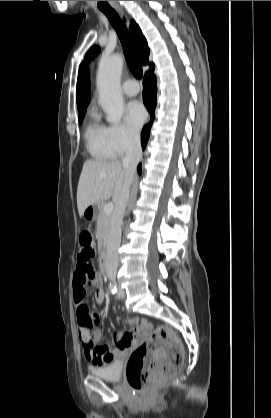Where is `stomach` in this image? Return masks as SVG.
I'll return each mask as SVG.
<instances>
[{
	"mask_svg": "<svg viewBox=\"0 0 271 418\" xmlns=\"http://www.w3.org/2000/svg\"><path fill=\"white\" fill-rule=\"evenodd\" d=\"M99 208V203L88 206L83 213L84 218L88 221H94L98 214Z\"/></svg>",
	"mask_w": 271,
	"mask_h": 418,
	"instance_id": "obj_1",
	"label": "stomach"
}]
</instances>
